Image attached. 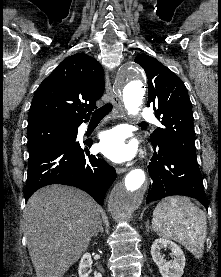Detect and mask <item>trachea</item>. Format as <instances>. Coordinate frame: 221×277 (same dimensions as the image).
<instances>
[{
    "label": "trachea",
    "mask_w": 221,
    "mask_h": 277,
    "mask_svg": "<svg viewBox=\"0 0 221 277\" xmlns=\"http://www.w3.org/2000/svg\"><path fill=\"white\" fill-rule=\"evenodd\" d=\"M112 110V104H106L92 114V119H102Z\"/></svg>",
    "instance_id": "3493384b"
}]
</instances>
